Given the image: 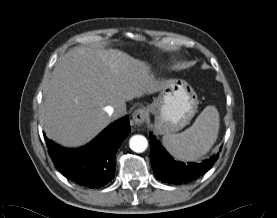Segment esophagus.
Listing matches in <instances>:
<instances>
[{"label": "esophagus", "instance_id": "obj_1", "mask_svg": "<svg viewBox=\"0 0 277 218\" xmlns=\"http://www.w3.org/2000/svg\"><path fill=\"white\" fill-rule=\"evenodd\" d=\"M148 117V110L145 107L138 108L134 111L132 118L135 124H142Z\"/></svg>", "mask_w": 277, "mask_h": 218}]
</instances>
